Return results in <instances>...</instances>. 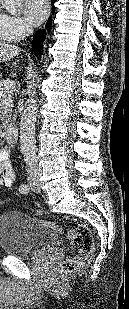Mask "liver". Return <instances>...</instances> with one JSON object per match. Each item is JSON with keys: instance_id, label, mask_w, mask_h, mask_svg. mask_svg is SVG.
<instances>
[{"instance_id": "liver-1", "label": "liver", "mask_w": 129, "mask_h": 309, "mask_svg": "<svg viewBox=\"0 0 129 309\" xmlns=\"http://www.w3.org/2000/svg\"><path fill=\"white\" fill-rule=\"evenodd\" d=\"M21 49L16 45L0 42V63L7 62L18 56Z\"/></svg>"}]
</instances>
